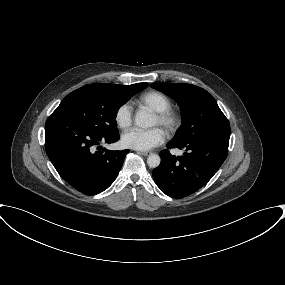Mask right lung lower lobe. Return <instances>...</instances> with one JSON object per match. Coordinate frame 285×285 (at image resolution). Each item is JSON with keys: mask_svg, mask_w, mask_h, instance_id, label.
<instances>
[{"mask_svg": "<svg viewBox=\"0 0 285 285\" xmlns=\"http://www.w3.org/2000/svg\"><path fill=\"white\" fill-rule=\"evenodd\" d=\"M119 140V133L100 135L61 116L51 115L45 125V149L59 175L78 191L95 195L116 179L128 150H93L101 142Z\"/></svg>", "mask_w": 285, "mask_h": 285, "instance_id": "98d812e1", "label": "right lung lower lobe"}]
</instances>
